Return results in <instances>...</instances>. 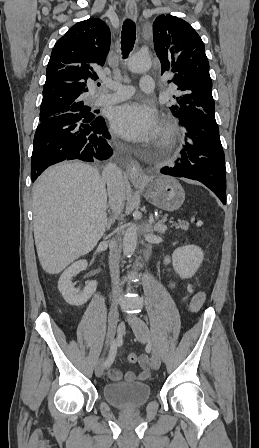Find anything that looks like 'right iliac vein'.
Masks as SVG:
<instances>
[{"label":"right iliac vein","instance_id":"right-iliac-vein-1","mask_svg":"<svg viewBox=\"0 0 259 448\" xmlns=\"http://www.w3.org/2000/svg\"><path fill=\"white\" fill-rule=\"evenodd\" d=\"M118 323V307L117 302H113L109 309L108 314V329H107V337H106V349L112 343L116 327ZM104 371V357L100 358L95 367V375L97 377H101Z\"/></svg>","mask_w":259,"mask_h":448}]
</instances>
